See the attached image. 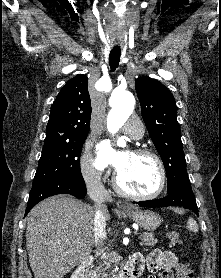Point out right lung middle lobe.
Wrapping results in <instances>:
<instances>
[{
	"label": "right lung middle lobe",
	"instance_id": "obj_1",
	"mask_svg": "<svg viewBox=\"0 0 221 278\" xmlns=\"http://www.w3.org/2000/svg\"><path fill=\"white\" fill-rule=\"evenodd\" d=\"M86 137L76 136L72 139L44 143L31 190L58 179L67 178L83 182L80 154Z\"/></svg>",
	"mask_w": 221,
	"mask_h": 278
}]
</instances>
